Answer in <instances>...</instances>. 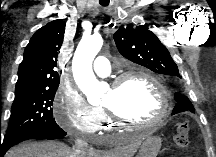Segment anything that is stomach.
I'll list each match as a JSON object with an SVG mask.
<instances>
[{"label":"stomach","instance_id":"1","mask_svg":"<svg viewBox=\"0 0 216 157\" xmlns=\"http://www.w3.org/2000/svg\"><path fill=\"white\" fill-rule=\"evenodd\" d=\"M161 148V138L147 136L139 147L136 157H156Z\"/></svg>","mask_w":216,"mask_h":157}]
</instances>
